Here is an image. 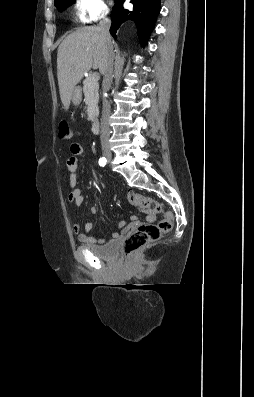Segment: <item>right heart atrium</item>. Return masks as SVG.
Instances as JSON below:
<instances>
[{
    "label": "right heart atrium",
    "instance_id": "d8ad5b80",
    "mask_svg": "<svg viewBox=\"0 0 254 397\" xmlns=\"http://www.w3.org/2000/svg\"><path fill=\"white\" fill-rule=\"evenodd\" d=\"M108 8L103 0H76V20L81 24H87L104 18Z\"/></svg>",
    "mask_w": 254,
    "mask_h": 397
}]
</instances>
